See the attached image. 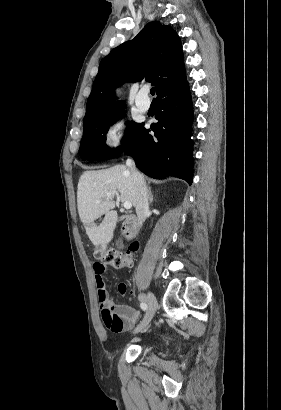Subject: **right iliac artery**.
Here are the masks:
<instances>
[{
	"mask_svg": "<svg viewBox=\"0 0 281 410\" xmlns=\"http://www.w3.org/2000/svg\"><path fill=\"white\" fill-rule=\"evenodd\" d=\"M140 307L143 311L147 310V304L144 301L141 302Z\"/></svg>",
	"mask_w": 281,
	"mask_h": 410,
	"instance_id": "obj_1",
	"label": "right iliac artery"
}]
</instances>
